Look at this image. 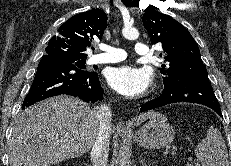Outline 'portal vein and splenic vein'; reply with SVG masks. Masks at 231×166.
Instances as JSON below:
<instances>
[{
    "instance_id": "obj_1",
    "label": "portal vein and splenic vein",
    "mask_w": 231,
    "mask_h": 166,
    "mask_svg": "<svg viewBox=\"0 0 231 166\" xmlns=\"http://www.w3.org/2000/svg\"><path fill=\"white\" fill-rule=\"evenodd\" d=\"M187 166H193L192 164H188ZM196 166H199L198 164H196Z\"/></svg>"
}]
</instances>
